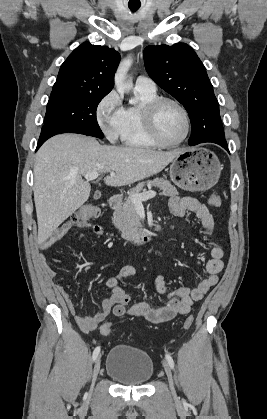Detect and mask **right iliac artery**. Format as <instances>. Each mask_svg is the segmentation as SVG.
I'll return each mask as SVG.
<instances>
[{
  "label": "right iliac artery",
  "instance_id": "1",
  "mask_svg": "<svg viewBox=\"0 0 267 419\" xmlns=\"http://www.w3.org/2000/svg\"><path fill=\"white\" fill-rule=\"evenodd\" d=\"M99 352H100V346L96 347L95 350L93 351V355H92L93 361L96 360V358L98 357Z\"/></svg>",
  "mask_w": 267,
  "mask_h": 419
}]
</instances>
